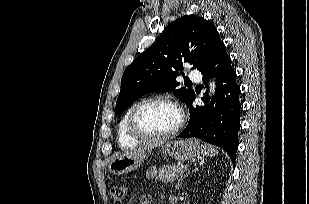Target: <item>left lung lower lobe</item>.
Wrapping results in <instances>:
<instances>
[{"instance_id": "1", "label": "left lung lower lobe", "mask_w": 309, "mask_h": 204, "mask_svg": "<svg viewBox=\"0 0 309 204\" xmlns=\"http://www.w3.org/2000/svg\"><path fill=\"white\" fill-rule=\"evenodd\" d=\"M203 83L210 77L216 78L215 97L207 106L194 105L195 94L188 104L190 120L179 138H199L207 143L219 146L234 162L238 148V131L240 129L241 93L236 82V72L232 68L231 58L221 48L212 65L202 71Z\"/></svg>"}]
</instances>
